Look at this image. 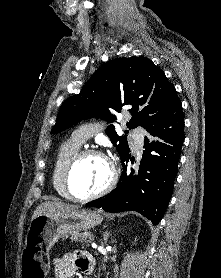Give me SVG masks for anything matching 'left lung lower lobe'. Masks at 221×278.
Segmentation results:
<instances>
[{
  "label": "left lung lower lobe",
  "mask_w": 221,
  "mask_h": 278,
  "mask_svg": "<svg viewBox=\"0 0 221 278\" xmlns=\"http://www.w3.org/2000/svg\"><path fill=\"white\" fill-rule=\"evenodd\" d=\"M142 158L127 170L130 155L121 158L123 171L117 187L109 194L87 203L108 212L136 211L158 224L171 199L181 148L184 118L180 100L155 123L145 127Z\"/></svg>",
  "instance_id": "0a47b994"
}]
</instances>
